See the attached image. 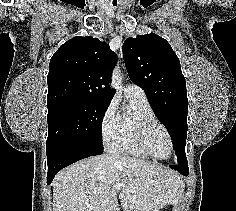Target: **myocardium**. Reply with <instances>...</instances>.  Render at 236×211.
<instances>
[{
    "mask_svg": "<svg viewBox=\"0 0 236 211\" xmlns=\"http://www.w3.org/2000/svg\"><path fill=\"white\" fill-rule=\"evenodd\" d=\"M132 143L133 145L140 151L143 155L153 158V159H158V160H166L168 159L173 151H174V141L172 138L171 133L169 130L166 128L165 125L162 123L156 121H151V120H134L132 123ZM154 128H160L164 131L166 136L168 137L169 143H170V151L166 156H158L150 151L147 150L145 146V140L148 135V133L154 129Z\"/></svg>",
    "mask_w": 236,
    "mask_h": 211,
    "instance_id": "1",
    "label": "myocardium"
}]
</instances>
